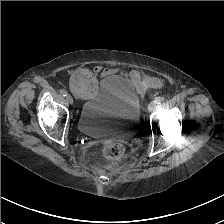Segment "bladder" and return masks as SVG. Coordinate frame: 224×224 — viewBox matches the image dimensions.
Listing matches in <instances>:
<instances>
[{"instance_id":"bladder-1","label":"bladder","mask_w":224,"mask_h":224,"mask_svg":"<svg viewBox=\"0 0 224 224\" xmlns=\"http://www.w3.org/2000/svg\"><path fill=\"white\" fill-rule=\"evenodd\" d=\"M140 108L137 97L119 80L108 77L86 99L77 119L79 131L96 139L129 140L139 129Z\"/></svg>"}]
</instances>
